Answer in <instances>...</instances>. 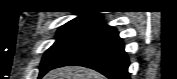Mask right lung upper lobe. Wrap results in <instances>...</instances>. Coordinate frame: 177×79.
Here are the masks:
<instances>
[{
	"label": "right lung upper lobe",
	"mask_w": 177,
	"mask_h": 79,
	"mask_svg": "<svg viewBox=\"0 0 177 79\" xmlns=\"http://www.w3.org/2000/svg\"><path fill=\"white\" fill-rule=\"evenodd\" d=\"M80 14L77 18L73 19L72 21L75 20H84V19H92V18H102L97 14V12H76Z\"/></svg>",
	"instance_id": "1"
}]
</instances>
